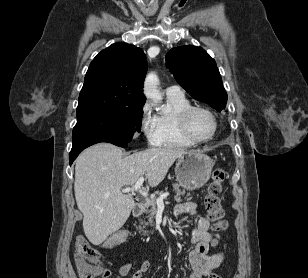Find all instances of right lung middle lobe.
<instances>
[{
	"label": "right lung middle lobe",
	"mask_w": 308,
	"mask_h": 278,
	"mask_svg": "<svg viewBox=\"0 0 308 278\" xmlns=\"http://www.w3.org/2000/svg\"><path fill=\"white\" fill-rule=\"evenodd\" d=\"M143 106L93 112L77 116L73 145L88 142L127 144L140 132Z\"/></svg>",
	"instance_id": "1"
}]
</instances>
